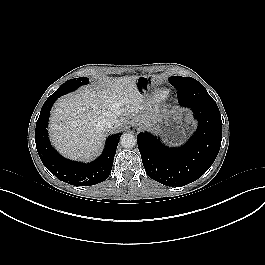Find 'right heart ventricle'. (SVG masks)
<instances>
[{
	"label": "right heart ventricle",
	"mask_w": 265,
	"mask_h": 265,
	"mask_svg": "<svg viewBox=\"0 0 265 265\" xmlns=\"http://www.w3.org/2000/svg\"><path fill=\"white\" fill-rule=\"evenodd\" d=\"M168 95V90L166 89H156L148 97L149 104H157L164 100Z\"/></svg>",
	"instance_id": "e07e8e85"
}]
</instances>
